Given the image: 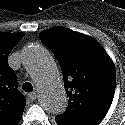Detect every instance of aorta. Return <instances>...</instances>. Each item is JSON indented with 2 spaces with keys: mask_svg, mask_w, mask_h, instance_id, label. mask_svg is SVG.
<instances>
[{
  "mask_svg": "<svg viewBox=\"0 0 125 125\" xmlns=\"http://www.w3.org/2000/svg\"><path fill=\"white\" fill-rule=\"evenodd\" d=\"M21 60L39 90L41 107L52 114L65 112L68 99L57 66L49 53L35 45L22 52Z\"/></svg>",
  "mask_w": 125,
  "mask_h": 125,
  "instance_id": "1",
  "label": "aorta"
}]
</instances>
